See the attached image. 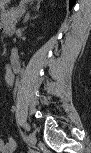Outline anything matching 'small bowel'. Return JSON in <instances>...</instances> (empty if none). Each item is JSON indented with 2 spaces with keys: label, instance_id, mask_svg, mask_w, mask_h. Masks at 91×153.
Segmentation results:
<instances>
[{
  "label": "small bowel",
  "instance_id": "c3829d8e",
  "mask_svg": "<svg viewBox=\"0 0 91 153\" xmlns=\"http://www.w3.org/2000/svg\"><path fill=\"white\" fill-rule=\"evenodd\" d=\"M12 76H13L12 73H10L8 75L9 83L12 82ZM15 149H16V144H15L14 140H12V139H7V140L2 141L0 143V150L2 153H13L15 151Z\"/></svg>",
  "mask_w": 91,
  "mask_h": 153
}]
</instances>
